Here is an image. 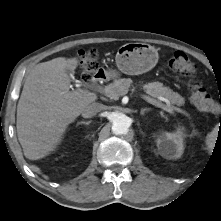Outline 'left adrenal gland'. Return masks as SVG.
<instances>
[{"label": "left adrenal gland", "instance_id": "a2214340", "mask_svg": "<svg viewBox=\"0 0 221 221\" xmlns=\"http://www.w3.org/2000/svg\"><path fill=\"white\" fill-rule=\"evenodd\" d=\"M150 110H151L150 108L141 109L140 114L144 115L146 112H149Z\"/></svg>", "mask_w": 221, "mask_h": 221}]
</instances>
